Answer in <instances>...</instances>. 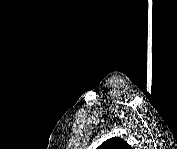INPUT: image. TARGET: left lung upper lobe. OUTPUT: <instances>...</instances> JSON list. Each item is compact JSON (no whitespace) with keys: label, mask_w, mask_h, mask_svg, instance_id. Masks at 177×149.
Masks as SVG:
<instances>
[{"label":"left lung upper lobe","mask_w":177,"mask_h":149,"mask_svg":"<svg viewBox=\"0 0 177 149\" xmlns=\"http://www.w3.org/2000/svg\"><path fill=\"white\" fill-rule=\"evenodd\" d=\"M131 146L121 138H110L103 142L98 149H130Z\"/></svg>","instance_id":"1"}]
</instances>
